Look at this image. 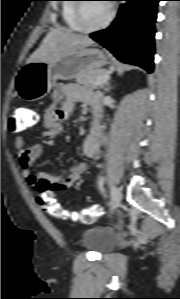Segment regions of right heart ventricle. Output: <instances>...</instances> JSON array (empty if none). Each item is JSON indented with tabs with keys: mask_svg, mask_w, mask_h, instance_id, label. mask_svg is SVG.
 <instances>
[{
	"mask_svg": "<svg viewBox=\"0 0 180 299\" xmlns=\"http://www.w3.org/2000/svg\"><path fill=\"white\" fill-rule=\"evenodd\" d=\"M75 0H65L61 8V15L65 25L74 31H79L77 24L74 21Z\"/></svg>",
	"mask_w": 180,
	"mask_h": 299,
	"instance_id": "1",
	"label": "right heart ventricle"
}]
</instances>
